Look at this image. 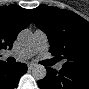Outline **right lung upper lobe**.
I'll return each mask as SVG.
<instances>
[{
    "mask_svg": "<svg viewBox=\"0 0 89 89\" xmlns=\"http://www.w3.org/2000/svg\"><path fill=\"white\" fill-rule=\"evenodd\" d=\"M31 10L18 5L0 8V49L12 48L18 33L33 23Z\"/></svg>",
    "mask_w": 89,
    "mask_h": 89,
    "instance_id": "cb5924a9",
    "label": "right lung upper lobe"
}]
</instances>
